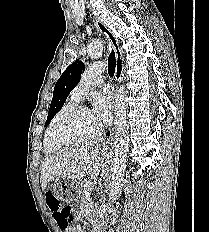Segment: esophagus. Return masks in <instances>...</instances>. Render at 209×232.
Wrapping results in <instances>:
<instances>
[{
	"mask_svg": "<svg viewBox=\"0 0 209 232\" xmlns=\"http://www.w3.org/2000/svg\"><path fill=\"white\" fill-rule=\"evenodd\" d=\"M95 24L98 30L103 34V36L108 40L110 45L113 47L116 55V72H115V83L118 86L122 80L123 76V55L119 47L118 41L109 30V28L98 18H94ZM113 138V126L108 129L104 137V145H109Z\"/></svg>",
	"mask_w": 209,
	"mask_h": 232,
	"instance_id": "1",
	"label": "esophagus"
}]
</instances>
